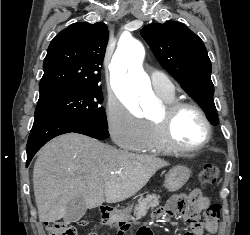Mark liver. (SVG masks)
Instances as JSON below:
<instances>
[{"label": "liver", "mask_w": 250, "mask_h": 235, "mask_svg": "<svg viewBox=\"0 0 250 235\" xmlns=\"http://www.w3.org/2000/svg\"><path fill=\"white\" fill-rule=\"evenodd\" d=\"M165 166L168 163L160 158L118 150L86 135H61L43 147L34 164L39 220H60L77 196L87 209L126 200Z\"/></svg>", "instance_id": "1"}]
</instances>
